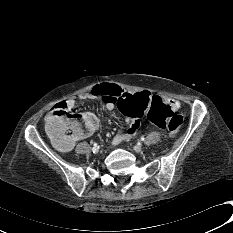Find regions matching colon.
I'll return each instance as SVG.
<instances>
[{"label":"colon","instance_id":"5ec220e1","mask_svg":"<svg viewBox=\"0 0 233 233\" xmlns=\"http://www.w3.org/2000/svg\"><path fill=\"white\" fill-rule=\"evenodd\" d=\"M96 101L108 103L131 117H140L147 111V119L153 125L166 129L171 135L178 133L183 117L177 113L176 104L166 106L160 97L149 90L129 92L112 83H98L93 88ZM97 126L93 116L77 113L65 104L54 106L48 118V132L54 139L66 137L81 139L89 135Z\"/></svg>","mask_w":233,"mask_h":233}]
</instances>
